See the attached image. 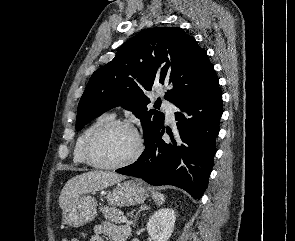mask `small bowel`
Wrapping results in <instances>:
<instances>
[{
	"label": "small bowel",
	"mask_w": 295,
	"mask_h": 241,
	"mask_svg": "<svg viewBox=\"0 0 295 241\" xmlns=\"http://www.w3.org/2000/svg\"><path fill=\"white\" fill-rule=\"evenodd\" d=\"M129 235V227L117 226L110 222H103L94 226L93 235L89 238V241H103V238L105 237L110 241H127Z\"/></svg>",
	"instance_id": "small-bowel-1"
}]
</instances>
